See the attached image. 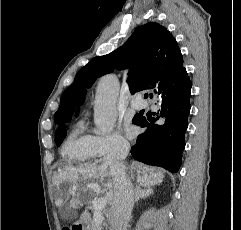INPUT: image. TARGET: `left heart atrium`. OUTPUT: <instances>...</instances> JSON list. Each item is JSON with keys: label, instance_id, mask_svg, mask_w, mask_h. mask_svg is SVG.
<instances>
[{"label": "left heart atrium", "instance_id": "left-heart-atrium-1", "mask_svg": "<svg viewBox=\"0 0 241 230\" xmlns=\"http://www.w3.org/2000/svg\"><path fill=\"white\" fill-rule=\"evenodd\" d=\"M125 131L129 137H132L134 135V128L130 124L126 125Z\"/></svg>", "mask_w": 241, "mask_h": 230}]
</instances>
